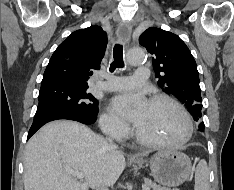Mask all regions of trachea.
Here are the masks:
<instances>
[{
    "instance_id": "trachea-1",
    "label": "trachea",
    "mask_w": 234,
    "mask_h": 190,
    "mask_svg": "<svg viewBox=\"0 0 234 190\" xmlns=\"http://www.w3.org/2000/svg\"><path fill=\"white\" fill-rule=\"evenodd\" d=\"M113 58L114 61L110 65V72H113L116 68H123V46L116 44L113 49Z\"/></svg>"
}]
</instances>
